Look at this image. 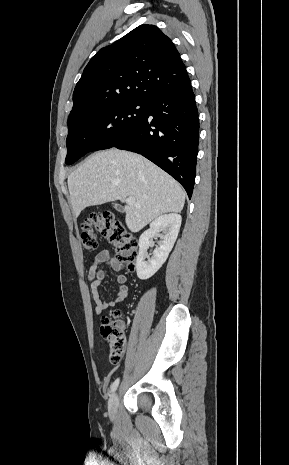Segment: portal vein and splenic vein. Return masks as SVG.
Instances as JSON below:
<instances>
[{
	"label": "portal vein and splenic vein",
	"instance_id": "18ae733b",
	"mask_svg": "<svg viewBox=\"0 0 289 465\" xmlns=\"http://www.w3.org/2000/svg\"><path fill=\"white\" fill-rule=\"evenodd\" d=\"M126 203L129 204V205H130V204H134V203H135V199H134L133 197H128V198L126 199Z\"/></svg>",
	"mask_w": 289,
	"mask_h": 465
}]
</instances>
